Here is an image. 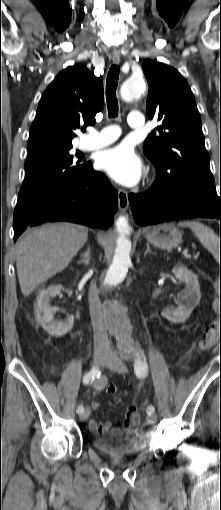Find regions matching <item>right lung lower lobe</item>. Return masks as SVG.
Wrapping results in <instances>:
<instances>
[{"label": "right lung lower lobe", "instance_id": "right-lung-lower-lobe-1", "mask_svg": "<svg viewBox=\"0 0 221 510\" xmlns=\"http://www.w3.org/2000/svg\"><path fill=\"white\" fill-rule=\"evenodd\" d=\"M118 193L107 177L88 162L76 181L51 190L14 214V240L28 227L45 222L69 221L94 228H108L114 222Z\"/></svg>", "mask_w": 221, "mask_h": 510}]
</instances>
